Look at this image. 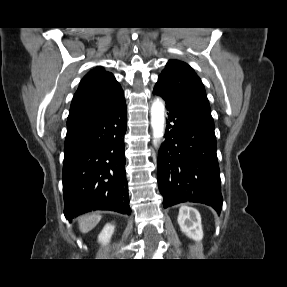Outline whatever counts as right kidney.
Instances as JSON below:
<instances>
[{"instance_id":"1","label":"right kidney","mask_w":287,"mask_h":287,"mask_svg":"<svg viewBox=\"0 0 287 287\" xmlns=\"http://www.w3.org/2000/svg\"><path fill=\"white\" fill-rule=\"evenodd\" d=\"M114 228V225L106 224L98 236V241L103 245L107 244L110 241L112 234L114 233Z\"/></svg>"}]
</instances>
